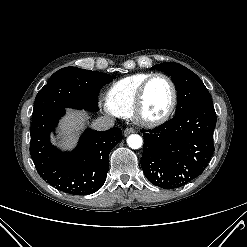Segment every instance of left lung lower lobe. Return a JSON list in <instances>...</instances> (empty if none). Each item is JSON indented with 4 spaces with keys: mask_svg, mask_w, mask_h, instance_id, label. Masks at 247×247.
Here are the masks:
<instances>
[{
    "mask_svg": "<svg viewBox=\"0 0 247 247\" xmlns=\"http://www.w3.org/2000/svg\"><path fill=\"white\" fill-rule=\"evenodd\" d=\"M213 105L199 106L152 129L142 130L141 167L146 178L164 189L185 185L202 174L214 152Z\"/></svg>",
    "mask_w": 247,
    "mask_h": 247,
    "instance_id": "left-lung-lower-lobe-1",
    "label": "left lung lower lobe"
}]
</instances>
